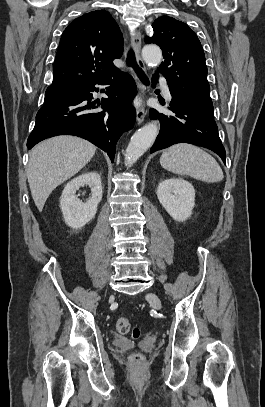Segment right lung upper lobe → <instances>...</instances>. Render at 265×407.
Listing matches in <instances>:
<instances>
[{
    "instance_id": "cb5924a9",
    "label": "right lung upper lobe",
    "mask_w": 265,
    "mask_h": 407,
    "mask_svg": "<svg viewBox=\"0 0 265 407\" xmlns=\"http://www.w3.org/2000/svg\"><path fill=\"white\" fill-rule=\"evenodd\" d=\"M123 53L120 29L105 10L75 19L63 32L53 66L51 85L81 84L115 73L113 60Z\"/></svg>"
}]
</instances>
